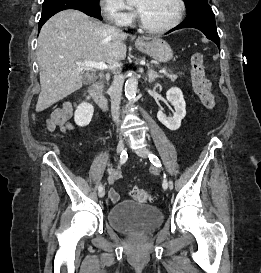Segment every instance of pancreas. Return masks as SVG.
<instances>
[{"label":"pancreas","instance_id":"pancreas-1","mask_svg":"<svg viewBox=\"0 0 261 273\" xmlns=\"http://www.w3.org/2000/svg\"><path fill=\"white\" fill-rule=\"evenodd\" d=\"M164 75L166 77H168L171 81H176V79L178 78V76L176 74H171V73H164Z\"/></svg>","mask_w":261,"mask_h":273}]
</instances>
